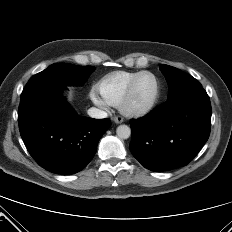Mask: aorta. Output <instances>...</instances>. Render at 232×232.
I'll list each match as a JSON object with an SVG mask.
<instances>
[{
    "label": "aorta",
    "mask_w": 232,
    "mask_h": 232,
    "mask_svg": "<svg viewBox=\"0 0 232 232\" xmlns=\"http://www.w3.org/2000/svg\"><path fill=\"white\" fill-rule=\"evenodd\" d=\"M116 134L120 139H128L131 135V129L127 125H120L116 129Z\"/></svg>",
    "instance_id": "1"
}]
</instances>
